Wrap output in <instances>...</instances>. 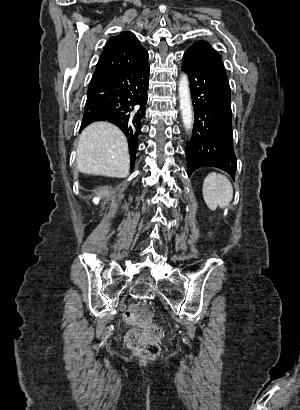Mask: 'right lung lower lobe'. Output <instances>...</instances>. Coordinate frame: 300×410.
<instances>
[{"label":"right lung lower lobe","instance_id":"obj_1","mask_svg":"<svg viewBox=\"0 0 300 410\" xmlns=\"http://www.w3.org/2000/svg\"><path fill=\"white\" fill-rule=\"evenodd\" d=\"M149 64L128 66L92 78L81 129L95 121L117 125L128 138L131 163L137 149L141 120L147 103Z\"/></svg>","mask_w":300,"mask_h":410}]
</instances>
